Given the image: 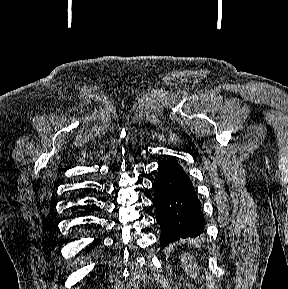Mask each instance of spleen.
Masks as SVG:
<instances>
[{
    "instance_id": "spleen-1",
    "label": "spleen",
    "mask_w": 288,
    "mask_h": 289,
    "mask_svg": "<svg viewBox=\"0 0 288 289\" xmlns=\"http://www.w3.org/2000/svg\"><path fill=\"white\" fill-rule=\"evenodd\" d=\"M181 264L185 271V273L192 279H196L198 277V266L196 264V259L193 255L183 254L181 256Z\"/></svg>"
}]
</instances>
